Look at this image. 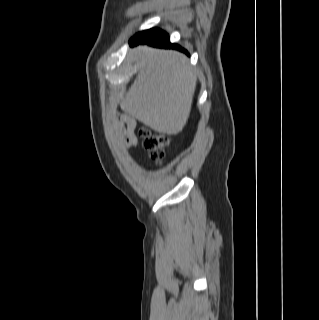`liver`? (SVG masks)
<instances>
[{"instance_id": "obj_1", "label": "liver", "mask_w": 319, "mask_h": 320, "mask_svg": "<svg viewBox=\"0 0 319 320\" xmlns=\"http://www.w3.org/2000/svg\"><path fill=\"white\" fill-rule=\"evenodd\" d=\"M129 56L139 72L125 97L122 110L152 130L176 135L186 125L197 77L185 55L173 50L139 46Z\"/></svg>"}]
</instances>
